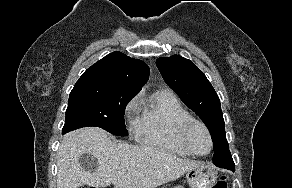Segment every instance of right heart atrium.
<instances>
[{
	"label": "right heart atrium",
	"mask_w": 292,
	"mask_h": 188,
	"mask_svg": "<svg viewBox=\"0 0 292 188\" xmlns=\"http://www.w3.org/2000/svg\"><path fill=\"white\" fill-rule=\"evenodd\" d=\"M138 108V99H131L125 108V116L132 122L133 125L137 122L136 112Z\"/></svg>",
	"instance_id": "obj_1"
}]
</instances>
